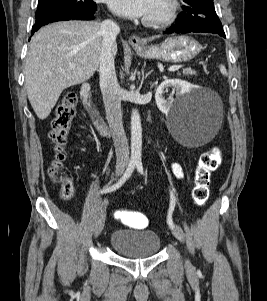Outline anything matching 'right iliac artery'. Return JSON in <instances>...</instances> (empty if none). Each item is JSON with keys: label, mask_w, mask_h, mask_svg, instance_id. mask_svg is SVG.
Here are the masks:
<instances>
[{"label": "right iliac artery", "mask_w": 267, "mask_h": 301, "mask_svg": "<svg viewBox=\"0 0 267 301\" xmlns=\"http://www.w3.org/2000/svg\"><path fill=\"white\" fill-rule=\"evenodd\" d=\"M135 165H136V162L130 161L125 173L119 179V181L116 184L112 185V186L103 188L100 192L101 193H110V192H113L116 189L120 188L126 182V180H128L130 178L132 172L134 171Z\"/></svg>", "instance_id": "82829eb1"}]
</instances>
